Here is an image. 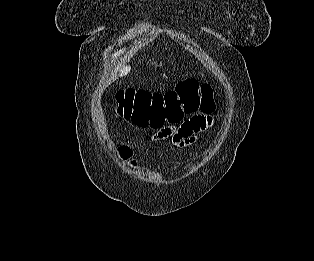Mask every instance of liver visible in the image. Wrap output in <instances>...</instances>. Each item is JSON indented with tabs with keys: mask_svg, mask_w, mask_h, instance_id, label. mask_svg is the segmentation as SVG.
I'll list each match as a JSON object with an SVG mask.
<instances>
[{
	"mask_svg": "<svg viewBox=\"0 0 314 261\" xmlns=\"http://www.w3.org/2000/svg\"><path fill=\"white\" fill-rule=\"evenodd\" d=\"M131 70V67L130 66H123L121 69H120V76H125L127 75Z\"/></svg>",
	"mask_w": 314,
	"mask_h": 261,
	"instance_id": "liver-1",
	"label": "liver"
}]
</instances>
